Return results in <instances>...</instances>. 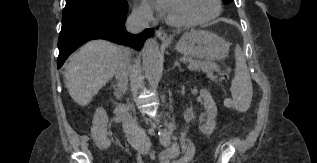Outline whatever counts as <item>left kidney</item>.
Masks as SVG:
<instances>
[{
	"label": "left kidney",
	"mask_w": 317,
	"mask_h": 163,
	"mask_svg": "<svg viewBox=\"0 0 317 163\" xmlns=\"http://www.w3.org/2000/svg\"><path fill=\"white\" fill-rule=\"evenodd\" d=\"M200 97L203 99L207 119L205 123L199 127V130L205 135H211L216 127L215 118L217 115V106L208 90L201 89Z\"/></svg>",
	"instance_id": "1"
}]
</instances>
